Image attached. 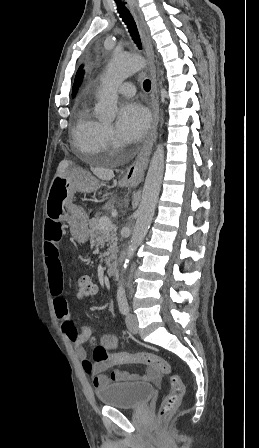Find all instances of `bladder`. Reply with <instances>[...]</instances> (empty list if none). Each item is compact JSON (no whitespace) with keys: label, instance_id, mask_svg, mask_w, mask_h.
<instances>
[{"label":"bladder","instance_id":"bladder-1","mask_svg":"<svg viewBox=\"0 0 259 448\" xmlns=\"http://www.w3.org/2000/svg\"><path fill=\"white\" fill-rule=\"evenodd\" d=\"M155 388L149 383H115L96 391L98 401L121 409H138L153 396Z\"/></svg>","mask_w":259,"mask_h":448}]
</instances>
